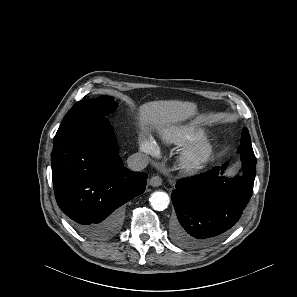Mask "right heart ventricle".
I'll return each mask as SVG.
<instances>
[{"instance_id":"1","label":"right heart ventricle","mask_w":297,"mask_h":297,"mask_svg":"<svg viewBox=\"0 0 297 297\" xmlns=\"http://www.w3.org/2000/svg\"><path fill=\"white\" fill-rule=\"evenodd\" d=\"M201 129L194 125H181L169 129L165 133V140L174 145H183L197 141L203 137Z\"/></svg>"}]
</instances>
